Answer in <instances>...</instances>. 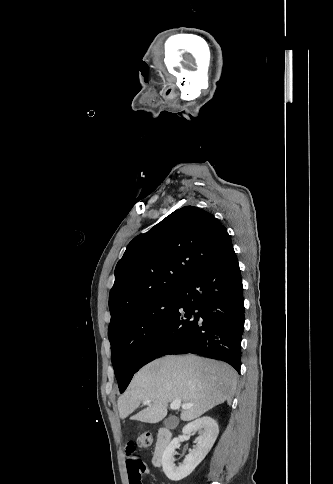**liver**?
I'll list each match as a JSON object with an SVG mask.
<instances>
[{
    "instance_id": "1",
    "label": "liver",
    "mask_w": 333,
    "mask_h": 484,
    "mask_svg": "<svg viewBox=\"0 0 333 484\" xmlns=\"http://www.w3.org/2000/svg\"><path fill=\"white\" fill-rule=\"evenodd\" d=\"M237 385L236 371L224 362L198 356H166L144 366L118 399L120 418L131 414L145 399L149 406L131 420L157 423L167 415L168 403L180 399L183 421L194 420L214 406L231 403Z\"/></svg>"
}]
</instances>
